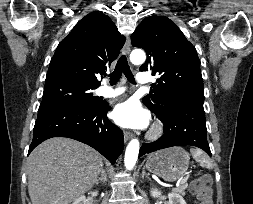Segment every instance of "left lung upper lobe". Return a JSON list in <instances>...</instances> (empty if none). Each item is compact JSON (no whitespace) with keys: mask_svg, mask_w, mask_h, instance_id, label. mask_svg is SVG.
Listing matches in <instances>:
<instances>
[{"mask_svg":"<svg viewBox=\"0 0 253 204\" xmlns=\"http://www.w3.org/2000/svg\"><path fill=\"white\" fill-rule=\"evenodd\" d=\"M134 47L147 53L140 71L158 75V85L143 98L158 116L177 106L204 101L203 79L196 49L181 30L164 16L146 17L131 35Z\"/></svg>","mask_w":253,"mask_h":204,"instance_id":"obj_1","label":"left lung upper lobe"}]
</instances>
